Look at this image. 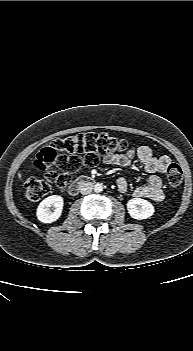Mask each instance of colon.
<instances>
[{"mask_svg":"<svg viewBox=\"0 0 193 351\" xmlns=\"http://www.w3.org/2000/svg\"><path fill=\"white\" fill-rule=\"evenodd\" d=\"M132 147L127 140L107 133H83L59 138L40 150L34 165L40 171L47 170V173L43 179L26 180L23 183L24 195L30 201H38L50 192L51 184H55L58 189H65L81 168L94 167L101 157L129 151ZM53 165L60 172L48 170ZM166 178L170 187H178L183 179L180 166L171 163Z\"/></svg>","mask_w":193,"mask_h":351,"instance_id":"obj_1","label":"colon"}]
</instances>
